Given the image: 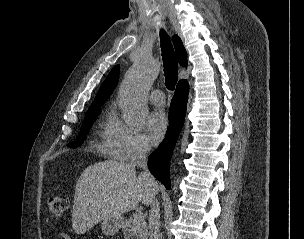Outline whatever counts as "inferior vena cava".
<instances>
[{"label":"inferior vena cava","mask_w":304,"mask_h":239,"mask_svg":"<svg viewBox=\"0 0 304 239\" xmlns=\"http://www.w3.org/2000/svg\"><path fill=\"white\" fill-rule=\"evenodd\" d=\"M149 149L144 145H139L134 150V153L131 157L130 165L132 167H140L144 170L143 173H141L142 177L145 179L147 184L150 187L155 186V180L153 179L152 175L148 171L147 167V154ZM159 203L156 198V195H154L151 198L150 201V211H149V234L150 239H160L159 235Z\"/></svg>","instance_id":"602c4592"}]
</instances>
